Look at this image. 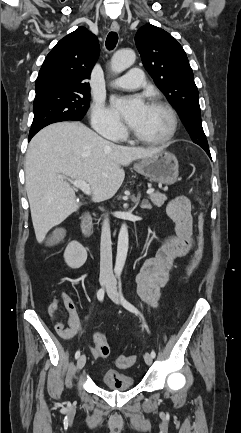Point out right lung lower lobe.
Wrapping results in <instances>:
<instances>
[{"instance_id": "obj_1", "label": "right lung lower lobe", "mask_w": 241, "mask_h": 433, "mask_svg": "<svg viewBox=\"0 0 241 433\" xmlns=\"http://www.w3.org/2000/svg\"><path fill=\"white\" fill-rule=\"evenodd\" d=\"M35 134H36V133L29 134V139H28V141H30L31 138H32Z\"/></svg>"}]
</instances>
